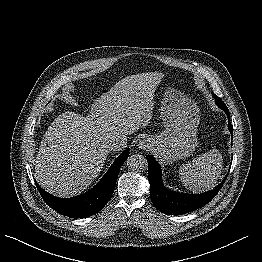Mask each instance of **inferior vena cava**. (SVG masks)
Instances as JSON below:
<instances>
[{
    "label": "inferior vena cava",
    "mask_w": 262,
    "mask_h": 262,
    "mask_svg": "<svg viewBox=\"0 0 262 262\" xmlns=\"http://www.w3.org/2000/svg\"><path fill=\"white\" fill-rule=\"evenodd\" d=\"M127 145L126 139L120 138L113 141H110L107 145L109 151H118L125 148Z\"/></svg>",
    "instance_id": "obj_1"
}]
</instances>
